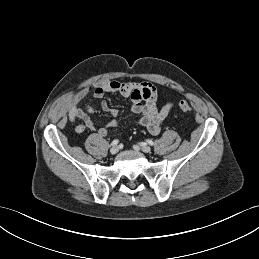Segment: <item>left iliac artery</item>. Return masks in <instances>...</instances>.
I'll return each mask as SVG.
<instances>
[{
	"instance_id": "44dca946",
	"label": "left iliac artery",
	"mask_w": 259,
	"mask_h": 259,
	"mask_svg": "<svg viewBox=\"0 0 259 259\" xmlns=\"http://www.w3.org/2000/svg\"><path fill=\"white\" fill-rule=\"evenodd\" d=\"M147 142L152 146L154 145V142L152 140H147Z\"/></svg>"
}]
</instances>
